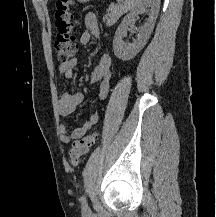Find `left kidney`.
<instances>
[{"mask_svg": "<svg viewBox=\"0 0 216 217\" xmlns=\"http://www.w3.org/2000/svg\"><path fill=\"white\" fill-rule=\"evenodd\" d=\"M159 7L160 0H143L134 10L124 17L116 30L113 40V50L117 58L124 61L130 60L145 46L153 31ZM147 8L151 9V14L144 26L139 29L137 40L134 43L126 45L123 41V37L125 36L128 27L134 23L139 13Z\"/></svg>", "mask_w": 216, "mask_h": 217, "instance_id": "5707ae66", "label": "left kidney"}]
</instances>
